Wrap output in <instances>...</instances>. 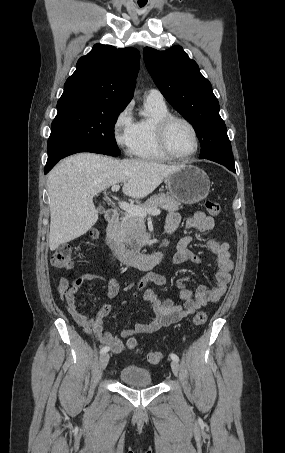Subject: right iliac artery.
<instances>
[{"instance_id":"1","label":"right iliac artery","mask_w":285,"mask_h":453,"mask_svg":"<svg viewBox=\"0 0 285 453\" xmlns=\"http://www.w3.org/2000/svg\"><path fill=\"white\" fill-rule=\"evenodd\" d=\"M107 351H109V348L102 347L101 350H100V353L103 354V353H106Z\"/></svg>"}]
</instances>
